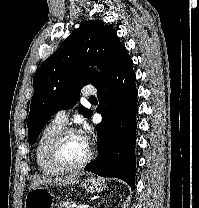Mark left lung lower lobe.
Here are the masks:
<instances>
[{"label":"left lung lower lobe","mask_w":199,"mask_h":208,"mask_svg":"<svg viewBox=\"0 0 199 208\" xmlns=\"http://www.w3.org/2000/svg\"><path fill=\"white\" fill-rule=\"evenodd\" d=\"M132 59H123L96 87L102 122L96 126L98 156L85 169L103 177H117L135 186V131L138 111Z\"/></svg>","instance_id":"obj_1"}]
</instances>
